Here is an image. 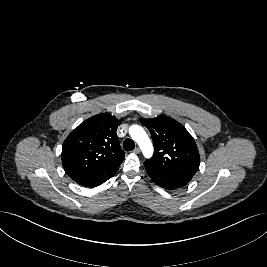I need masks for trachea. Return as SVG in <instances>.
Instances as JSON below:
<instances>
[{
	"label": "trachea",
	"mask_w": 267,
	"mask_h": 267,
	"mask_svg": "<svg viewBox=\"0 0 267 267\" xmlns=\"http://www.w3.org/2000/svg\"><path fill=\"white\" fill-rule=\"evenodd\" d=\"M135 148V143L133 140L131 139H126L124 142H123V149L125 151H132L133 149Z\"/></svg>",
	"instance_id": "trachea-1"
}]
</instances>
